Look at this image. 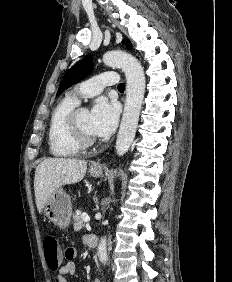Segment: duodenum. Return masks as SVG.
I'll return each instance as SVG.
<instances>
[{"mask_svg":"<svg viewBox=\"0 0 232 282\" xmlns=\"http://www.w3.org/2000/svg\"><path fill=\"white\" fill-rule=\"evenodd\" d=\"M86 245L90 248H95L98 245V238L96 235H88L86 237Z\"/></svg>","mask_w":232,"mask_h":282,"instance_id":"410a0bca","label":"duodenum"}]
</instances>
